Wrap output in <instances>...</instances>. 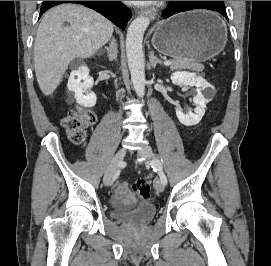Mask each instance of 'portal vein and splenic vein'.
I'll return each mask as SVG.
<instances>
[{"label": "portal vein and splenic vein", "instance_id": "1", "mask_svg": "<svg viewBox=\"0 0 271 266\" xmlns=\"http://www.w3.org/2000/svg\"><path fill=\"white\" fill-rule=\"evenodd\" d=\"M164 65H165V66H170V65H171V61L165 60V61H164Z\"/></svg>", "mask_w": 271, "mask_h": 266}]
</instances>
